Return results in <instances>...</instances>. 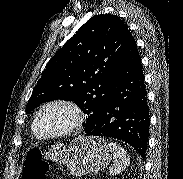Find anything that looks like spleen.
Segmentation results:
<instances>
[{
  "instance_id": "1",
  "label": "spleen",
  "mask_w": 183,
  "mask_h": 179,
  "mask_svg": "<svg viewBox=\"0 0 183 179\" xmlns=\"http://www.w3.org/2000/svg\"><path fill=\"white\" fill-rule=\"evenodd\" d=\"M110 152L113 155V165L111 166L109 173L116 175L125 170L130 164V158L127 156V152L116 143H109Z\"/></svg>"
}]
</instances>
